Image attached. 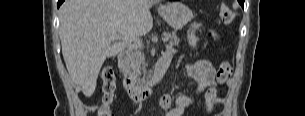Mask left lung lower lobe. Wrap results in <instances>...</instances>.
Segmentation results:
<instances>
[{
    "label": "left lung lower lobe",
    "instance_id": "obj_1",
    "mask_svg": "<svg viewBox=\"0 0 305 116\" xmlns=\"http://www.w3.org/2000/svg\"><path fill=\"white\" fill-rule=\"evenodd\" d=\"M239 3L244 6V0H239Z\"/></svg>",
    "mask_w": 305,
    "mask_h": 116
}]
</instances>
